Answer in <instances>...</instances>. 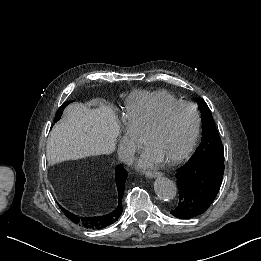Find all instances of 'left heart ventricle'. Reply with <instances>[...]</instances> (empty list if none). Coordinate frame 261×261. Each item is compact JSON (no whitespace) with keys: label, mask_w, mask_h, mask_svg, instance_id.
Segmentation results:
<instances>
[{"label":"left heart ventricle","mask_w":261,"mask_h":261,"mask_svg":"<svg viewBox=\"0 0 261 261\" xmlns=\"http://www.w3.org/2000/svg\"><path fill=\"white\" fill-rule=\"evenodd\" d=\"M194 126L192 112L183 107H173L157 119L148 121L137 129L138 138L159 159L180 151L188 141Z\"/></svg>","instance_id":"left-heart-ventricle-1"}]
</instances>
